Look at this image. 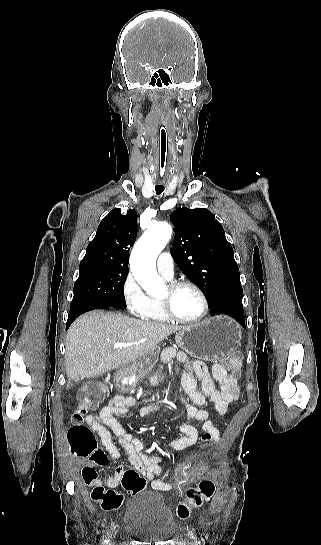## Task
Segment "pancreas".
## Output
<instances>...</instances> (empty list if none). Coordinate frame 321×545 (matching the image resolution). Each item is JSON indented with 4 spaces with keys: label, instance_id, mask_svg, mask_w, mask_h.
Listing matches in <instances>:
<instances>
[{
    "label": "pancreas",
    "instance_id": "1",
    "mask_svg": "<svg viewBox=\"0 0 321 545\" xmlns=\"http://www.w3.org/2000/svg\"><path fill=\"white\" fill-rule=\"evenodd\" d=\"M129 375H133V373H129ZM147 373H141V375H137L138 379H143V377H146ZM164 377H160V381H162Z\"/></svg>",
    "mask_w": 321,
    "mask_h": 545
}]
</instances>
